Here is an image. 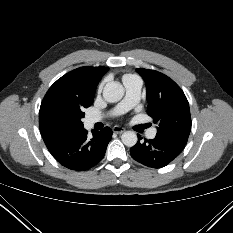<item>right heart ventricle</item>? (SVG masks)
Masks as SVG:
<instances>
[{
    "label": "right heart ventricle",
    "mask_w": 233,
    "mask_h": 233,
    "mask_svg": "<svg viewBox=\"0 0 233 233\" xmlns=\"http://www.w3.org/2000/svg\"><path fill=\"white\" fill-rule=\"evenodd\" d=\"M129 76H131V75H126V76H124L123 80H124L125 78L129 77Z\"/></svg>",
    "instance_id": "obj_1"
}]
</instances>
